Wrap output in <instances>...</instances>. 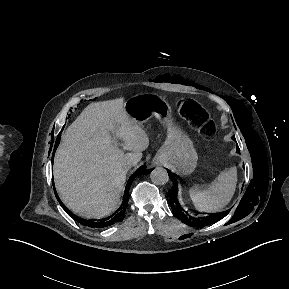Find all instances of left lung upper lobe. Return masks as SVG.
<instances>
[{
	"instance_id": "5c2ea615",
	"label": "left lung upper lobe",
	"mask_w": 289,
	"mask_h": 289,
	"mask_svg": "<svg viewBox=\"0 0 289 289\" xmlns=\"http://www.w3.org/2000/svg\"><path fill=\"white\" fill-rule=\"evenodd\" d=\"M233 140H235V137H232ZM237 152H239V148H237Z\"/></svg>"
}]
</instances>
